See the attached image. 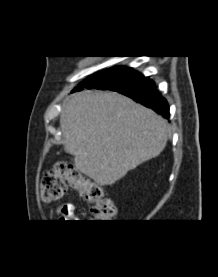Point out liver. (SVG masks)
Wrapping results in <instances>:
<instances>
[{
  "label": "liver",
  "instance_id": "6515ba94",
  "mask_svg": "<svg viewBox=\"0 0 218 277\" xmlns=\"http://www.w3.org/2000/svg\"><path fill=\"white\" fill-rule=\"evenodd\" d=\"M60 129L75 167L100 186L157 157L167 143L166 121L116 92L75 93L64 101Z\"/></svg>",
  "mask_w": 218,
  "mask_h": 277
}]
</instances>
